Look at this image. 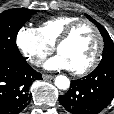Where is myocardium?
Returning <instances> with one entry per match:
<instances>
[{
  "instance_id": "1",
  "label": "myocardium",
  "mask_w": 114,
  "mask_h": 114,
  "mask_svg": "<svg viewBox=\"0 0 114 114\" xmlns=\"http://www.w3.org/2000/svg\"><path fill=\"white\" fill-rule=\"evenodd\" d=\"M82 24H87L93 29V31L96 34L97 40H98V45H97L95 55H94L93 59L88 63V65H86L85 67H83L81 69H71L72 73L77 76L86 75V74L92 72L98 66V64L100 62V59H101V56L103 53V49H104V39H103V36H102L99 28L91 20L85 19V18H80V19L72 22L70 25H68L55 43V49L57 52H59L60 46L63 43H65L67 40H69L70 37L72 36V34L74 33V31L76 30V28Z\"/></svg>"
}]
</instances>
